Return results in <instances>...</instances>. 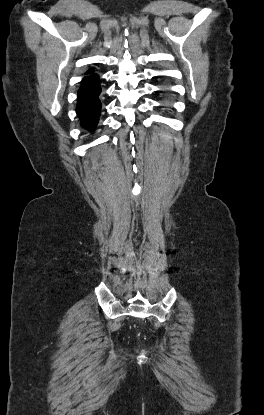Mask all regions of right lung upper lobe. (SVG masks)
<instances>
[{
    "mask_svg": "<svg viewBox=\"0 0 264 415\" xmlns=\"http://www.w3.org/2000/svg\"><path fill=\"white\" fill-rule=\"evenodd\" d=\"M93 71V69H90L87 73H90V72H92Z\"/></svg>",
    "mask_w": 264,
    "mask_h": 415,
    "instance_id": "obj_1",
    "label": "right lung upper lobe"
}]
</instances>
